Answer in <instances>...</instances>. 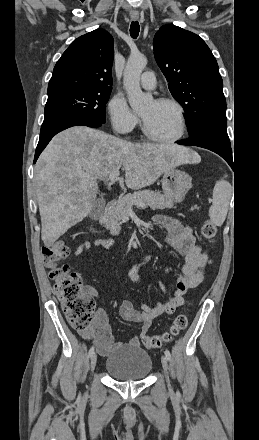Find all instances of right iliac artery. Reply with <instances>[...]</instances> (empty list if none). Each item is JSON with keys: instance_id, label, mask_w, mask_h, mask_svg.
Here are the masks:
<instances>
[{"instance_id": "82829eb1", "label": "right iliac artery", "mask_w": 259, "mask_h": 440, "mask_svg": "<svg viewBox=\"0 0 259 440\" xmlns=\"http://www.w3.org/2000/svg\"><path fill=\"white\" fill-rule=\"evenodd\" d=\"M93 353H94V347L92 346L89 350L88 356L91 357Z\"/></svg>"}]
</instances>
